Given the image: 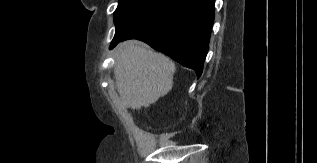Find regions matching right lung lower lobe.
I'll return each mask as SVG.
<instances>
[{
	"instance_id": "right-lung-lower-lobe-1",
	"label": "right lung lower lobe",
	"mask_w": 317,
	"mask_h": 163,
	"mask_svg": "<svg viewBox=\"0 0 317 163\" xmlns=\"http://www.w3.org/2000/svg\"><path fill=\"white\" fill-rule=\"evenodd\" d=\"M215 0H175L160 16L112 42L110 49L126 39H139L165 53L184 67L202 74Z\"/></svg>"
}]
</instances>
